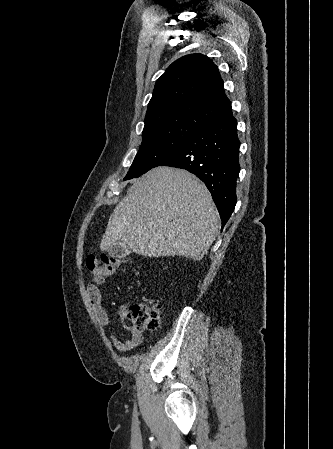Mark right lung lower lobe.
Returning <instances> with one entry per match:
<instances>
[{"label": "right lung lower lobe", "mask_w": 333, "mask_h": 449, "mask_svg": "<svg viewBox=\"0 0 333 449\" xmlns=\"http://www.w3.org/2000/svg\"><path fill=\"white\" fill-rule=\"evenodd\" d=\"M239 147L237 121L231 113L200 129L155 167L186 169L201 179L212 194L223 228L236 205Z\"/></svg>", "instance_id": "98d812e1"}]
</instances>
